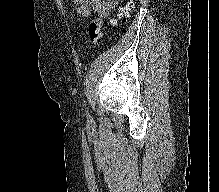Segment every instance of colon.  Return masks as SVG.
<instances>
[{"mask_svg":"<svg viewBox=\"0 0 219 192\" xmlns=\"http://www.w3.org/2000/svg\"><path fill=\"white\" fill-rule=\"evenodd\" d=\"M133 7V0H126L120 7L118 19L121 21L129 14ZM103 22L101 19H94L89 26V35L94 44H98L102 36Z\"/></svg>","mask_w":219,"mask_h":192,"instance_id":"1","label":"colon"}]
</instances>
